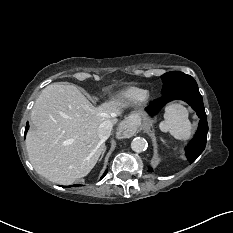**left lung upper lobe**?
<instances>
[{
  "label": "left lung upper lobe",
  "instance_id": "5c2ea615",
  "mask_svg": "<svg viewBox=\"0 0 233 233\" xmlns=\"http://www.w3.org/2000/svg\"><path fill=\"white\" fill-rule=\"evenodd\" d=\"M163 81V95L169 93L175 88L184 86V85H197L196 81L190 75H187L180 71H173L165 73L161 76Z\"/></svg>",
  "mask_w": 233,
  "mask_h": 233
}]
</instances>
